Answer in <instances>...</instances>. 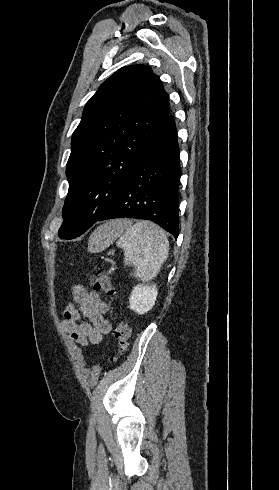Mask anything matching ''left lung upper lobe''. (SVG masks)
<instances>
[{
  "mask_svg": "<svg viewBox=\"0 0 279 490\" xmlns=\"http://www.w3.org/2000/svg\"><path fill=\"white\" fill-rule=\"evenodd\" d=\"M170 116L169 96L148 66L123 67L99 87L72 135L60 238L82 235L110 208L142 149Z\"/></svg>",
  "mask_w": 279,
  "mask_h": 490,
  "instance_id": "obj_1",
  "label": "left lung upper lobe"
}]
</instances>
